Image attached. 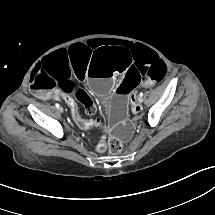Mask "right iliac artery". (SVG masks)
<instances>
[{
    "instance_id": "1",
    "label": "right iliac artery",
    "mask_w": 215,
    "mask_h": 215,
    "mask_svg": "<svg viewBox=\"0 0 215 215\" xmlns=\"http://www.w3.org/2000/svg\"><path fill=\"white\" fill-rule=\"evenodd\" d=\"M55 106L57 107V108H59L60 106H59V104H55Z\"/></svg>"
}]
</instances>
